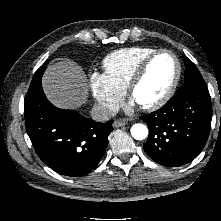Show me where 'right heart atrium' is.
I'll list each match as a JSON object with an SVG mask.
<instances>
[{"label":"right heart atrium","mask_w":221,"mask_h":221,"mask_svg":"<svg viewBox=\"0 0 221 221\" xmlns=\"http://www.w3.org/2000/svg\"><path fill=\"white\" fill-rule=\"evenodd\" d=\"M90 89L96 103L105 114L113 113L123 98V91L104 73L95 72L90 75Z\"/></svg>","instance_id":"obj_1"}]
</instances>
